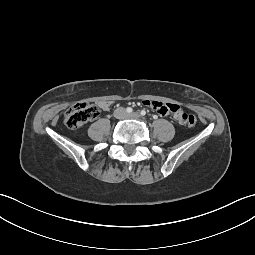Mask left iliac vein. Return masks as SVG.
<instances>
[{"instance_id": "obj_1", "label": "left iliac vein", "mask_w": 255, "mask_h": 255, "mask_svg": "<svg viewBox=\"0 0 255 255\" xmlns=\"http://www.w3.org/2000/svg\"><path fill=\"white\" fill-rule=\"evenodd\" d=\"M125 118H128V119H140L141 116H140L139 113L134 112V113L125 115Z\"/></svg>"}]
</instances>
